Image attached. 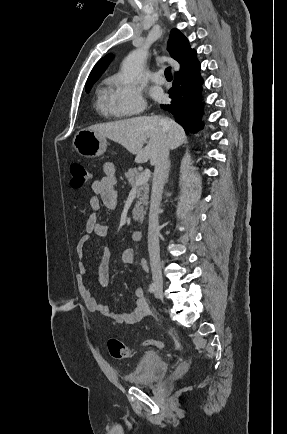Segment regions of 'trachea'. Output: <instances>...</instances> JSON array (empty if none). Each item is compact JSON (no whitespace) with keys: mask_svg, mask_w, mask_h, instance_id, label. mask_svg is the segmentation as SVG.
Returning a JSON list of instances; mask_svg holds the SVG:
<instances>
[{"mask_svg":"<svg viewBox=\"0 0 287 434\" xmlns=\"http://www.w3.org/2000/svg\"><path fill=\"white\" fill-rule=\"evenodd\" d=\"M165 77L168 79H172L171 67H167L165 69Z\"/></svg>","mask_w":287,"mask_h":434,"instance_id":"obj_1","label":"trachea"}]
</instances>
